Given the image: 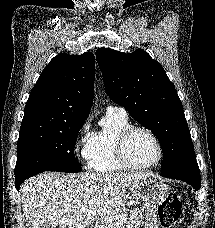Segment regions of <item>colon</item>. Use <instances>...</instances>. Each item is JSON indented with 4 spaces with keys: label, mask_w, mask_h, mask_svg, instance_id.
Masks as SVG:
<instances>
[{
    "label": "colon",
    "mask_w": 215,
    "mask_h": 228,
    "mask_svg": "<svg viewBox=\"0 0 215 228\" xmlns=\"http://www.w3.org/2000/svg\"><path fill=\"white\" fill-rule=\"evenodd\" d=\"M182 204L177 194H170L159 206L158 215L162 228H174L181 215Z\"/></svg>",
    "instance_id": "1"
}]
</instances>
